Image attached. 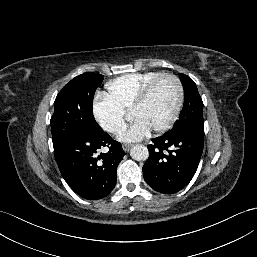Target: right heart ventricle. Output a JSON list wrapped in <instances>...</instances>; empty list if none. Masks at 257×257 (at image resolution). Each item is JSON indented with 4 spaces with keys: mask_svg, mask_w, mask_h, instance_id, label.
Here are the masks:
<instances>
[{
    "mask_svg": "<svg viewBox=\"0 0 257 257\" xmlns=\"http://www.w3.org/2000/svg\"><path fill=\"white\" fill-rule=\"evenodd\" d=\"M160 74L144 72L120 76L106 84L107 96L124 112L130 111L140 92Z\"/></svg>",
    "mask_w": 257,
    "mask_h": 257,
    "instance_id": "obj_1",
    "label": "right heart ventricle"
}]
</instances>
